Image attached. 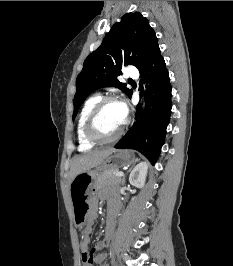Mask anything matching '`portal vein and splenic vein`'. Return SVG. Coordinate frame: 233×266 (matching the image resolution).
I'll return each mask as SVG.
<instances>
[{
  "label": "portal vein and splenic vein",
  "mask_w": 233,
  "mask_h": 266,
  "mask_svg": "<svg viewBox=\"0 0 233 266\" xmlns=\"http://www.w3.org/2000/svg\"><path fill=\"white\" fill-rule=\"evenodd\" d=\"M116 176H118V177H122V176H124V173L121 172V171H120V172H117V173H116Z\"/></svg>",
  "instance_id": "18ae733b"
}]
</instances>
